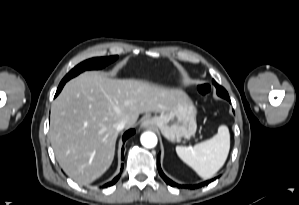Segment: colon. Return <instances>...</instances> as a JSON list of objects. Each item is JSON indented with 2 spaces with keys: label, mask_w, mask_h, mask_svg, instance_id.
Listing matches in <instances>:
<instances>
[{
  "label": "colon",
  "mask_w": 299,
  "mask_h": 205,
  "mask_svg": "<svg viewBox=\"0 0 299 205\" xmlns=\"http://www.w3.org/2000/svg\"><path fill=\"white\" fill-rule=\"evenodd\" d=\"M198 91L203 97H207L210 93V86L206 83L200 84L198 86Z\"/></svg>",
  "instance_id": "obj_1"
}]
</instances>
